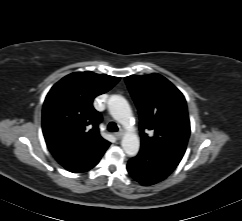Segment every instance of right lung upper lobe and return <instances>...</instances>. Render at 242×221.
Here are the masks:
<instances>
[{
    "label": "right lung upper lobe",
    "mask_w": 242,
    "mask_h": 221,
    "mask_svg": "<svg viewBox=\"0 0 242 221\" xmlns=\"http://www.w3.org/2000/svg\"><path fill=\"white\" fill-rule=\"evenodd\" d=\"M119 77L92 72L71 73L49 91L43 105L42 129L55 159L77 173L94 167L110 142L99 133L102 116L92 103L110 90Z\"/></svg>",
    "instance_id": "1"
}]
</instances>
